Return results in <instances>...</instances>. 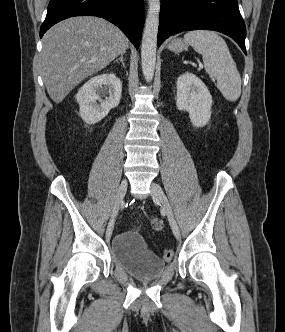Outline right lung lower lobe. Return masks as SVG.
<instances>
[{
    "label": "right lung lower lobe",
    "instance_id": "obj_1",
    "mask_svg": "<svg viewBox=\"0 0 285 332\" xmlns=\"http://www.w3.org/2000/svg\"><path fill=\"white\" fill-rule=\"evenodd\" d=\"M78 15L97 16L110 21L136 48L139 47L144 18L143 0H50L40 37L59 21Z\"/></svg>",
    "mask_w": 285,
    "mask_h": 332
}]
</instances>
